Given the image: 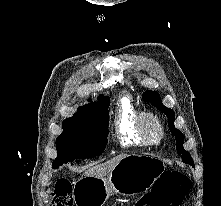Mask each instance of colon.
Instances as JSON below:
<instances>
[{"instance_id":"1","label":"colon","mask_w":221,"mask_h":206,"mask_svg":"<svg viewBox=\"0 0 221 206\" xmlns=\"http://www.w3.org/2000/svg\"><path fill=\"white\" fill-rule=\"evenodd\" d=\"M190 180L177 171H167L156 181L151 192L145 194L134 206H179L190 190ZM53 206H74L70 181L60 179L53 191Z\"/></svg>"}]
</instances>
